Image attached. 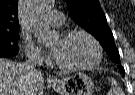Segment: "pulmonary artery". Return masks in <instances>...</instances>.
I'll use <instances>...</instances> for the list:
<instances>
[{"mask_svg":"<svg viewBox=\"0 0 135 95\" xmlns=\"http://www.w3.org/2000/svg\"><path fill=\"white\" fill-rule=\"evenodd\" d=\"M48 20L53 26L59 27L64 23V15L57 10H53L49 15Z\"/></svg>","mask_w":135,"mask_h":95,"instance_id":"pulmonary-artery-1","label":"pulmonary artery"}]
</instances>
